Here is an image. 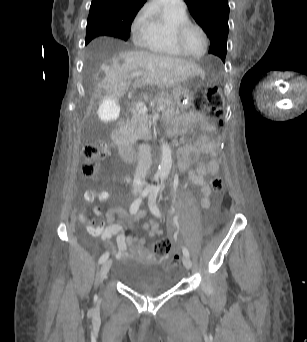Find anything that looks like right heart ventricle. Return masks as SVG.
<instances>
[{"mask_svg": "<svg viewBox=\"0 0 307 342\" xmlns=\"http://www.w3.org/2000/svg\"><path fill=\"white\" fill-rule=\"evenodd\" d=\"M188 18H190V15L187 9L183 11H162L156 20L158 32L147 39L133 42L131 49L134 52H145L181 60L186 59L174 43V29L179 22Z\"/></svg>", "mask_w": 307, "mask_h": 342, "instance_id": "right-heart-ventricle-1", "label": "right heart ventricle"}]
</instances>
